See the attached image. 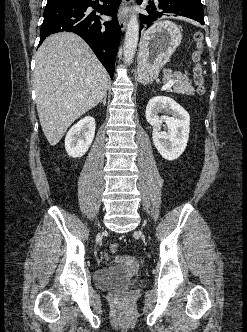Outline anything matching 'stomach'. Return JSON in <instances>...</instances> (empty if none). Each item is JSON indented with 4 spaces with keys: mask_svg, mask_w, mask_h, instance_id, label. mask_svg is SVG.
I'll list each match as a JSON object with an SVG mask.
<instances>
[{
    "mask_svg": "<svg viewBox=\"0 0 247 332\" xmlns=\"http://www.w3.org/2000/svg\"><path fill=\"white\" fill-rule=\"evenodd\" d=\"M181 40L179 27L170 21H158L145 31L138 53L139 81L147 83L157 78Z\"/></svg>",
    "mask_w": 247,
    "mask_h": 332,
    "instance_id": "obj_1",
    "label": "stomach"
}]
</instances>
